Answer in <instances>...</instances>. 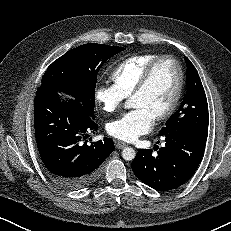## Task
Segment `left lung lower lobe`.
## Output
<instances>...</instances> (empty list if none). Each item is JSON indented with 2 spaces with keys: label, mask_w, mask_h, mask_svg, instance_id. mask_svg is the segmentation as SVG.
Segmentation results:
<instances>
[{
  "label": "left lung lower lobe",
  "mask_w": 231,
  "mask_h": 231,
  "mask_svg": "<svg viewBox=\"0 0 231 231\" xmlns=\"http://www.w3.org/2000/svg\"><path fill=\"white\" fill-rule=\"evenodd\" d=\"M163 147L153 154L150 149L138 151L132 162L134 174L158 191L176 189L197 170L206 146L208 133L178 130L160 135Z\"/></svg>",
  "instance_id": "0a47b994"
}]
</instances>
